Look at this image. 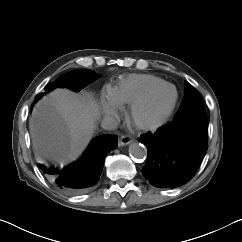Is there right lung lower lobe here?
I'll list each match as a JSON object with an SVG mask.
<instances>
[{
	"label": "right lung lower lobe",
	"instance_id": "98d812e1",
	"mask_svg": "<svg viewBox=\"0 0 242 242\" xmlns=\"http://www.w3.org/2000/svg\"><path fill=\"white\" fill-rule=\"evenodd\" d=\"M118 146L114 135L94 138L81 157L63 167L38 164L47 179L58 189L67 193H81L97 183L106 155Z\"/></svg>",
	"mask_w": 242,
	"mask_h": 242
}]
</instances>
